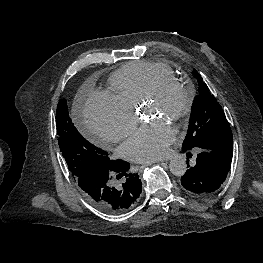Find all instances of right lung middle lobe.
Masks as SVG:
<instances>
[{
  "instance_id": "1",
  "label": "right lung middle lobe",
  "mask_w": 263,
  "mask_h": 263,
  "mask_svg": "<svg viewBox=\"0 0 263 263\" xmlns=\"http://www.w3.org/2000/svg\"><path fill=\"white\" fill-rule=\"evenodd\" d=\"M56 127L60 151L74 180L85 172L103 170L111 165L107 152L89 143L77 131L65 99H61L57 106Z\"/></svg>"
}]
</instances>
